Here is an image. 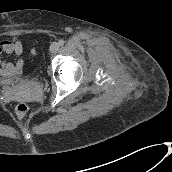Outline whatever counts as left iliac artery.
<instances>
[{"instance_id":"44dca946","label":"left iliac artery","mask_w":172,"mask_h":172,"mask_svg":"<svg viewBox=\"0 0 172 172\" xmlns=\"http://www.w3.org/2000/svg\"><path fill=\"white\" fill-rule=\"evenodd\" d=\"M58 43H59L60 46H62V45H64L65 42H64V40L61 39V40H59Z\"/></svg>"}]
</instances>
